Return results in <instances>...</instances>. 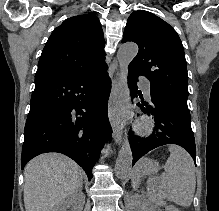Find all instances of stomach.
<instances>
[{"label":"stomach","mask_w":219,"mask_h":211,"mask_svg":"<svg viewBox=\"0 0 219 211\" xmlns=\"http://www.w3.org/2000/svg\"><path fill=\"white\" fill-rule=\"evenodd\" d=\"M159 168L157 161L144 157L139 160L135 169L143 175H154L158 172Z\"/></svg>","instance_id":"stomach-1"}]
</instances>
